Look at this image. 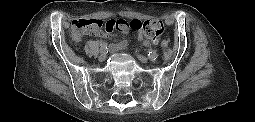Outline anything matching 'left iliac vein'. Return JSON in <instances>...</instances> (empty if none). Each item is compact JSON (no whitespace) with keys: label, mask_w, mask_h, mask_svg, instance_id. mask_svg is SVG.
I'll return each instance as SVG.
<instances>
[{"label":"left iliac vein","mask_w":255,"mask_h":122,"mask_svg":"<svg viewBox=\"0 0 255 122\" xmlns=\"http://www.w3.org/2000/svg\"><path fill=\"white\" fill-rule=\"evenodd\" d=\"M137 58L142 62V63H148V58L142 55H137Z\"/></svg>","instance_id":"obj_1"}]
</instances>
